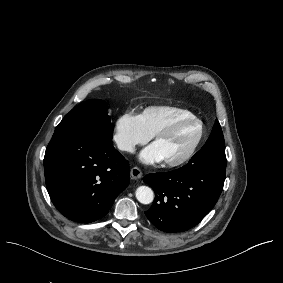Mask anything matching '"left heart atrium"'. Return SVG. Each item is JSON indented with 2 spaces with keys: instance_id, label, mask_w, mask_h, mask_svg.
<instances>
[{
  "instance_id": "1",
  "label": "left heart atrium",
  "mask_w": 283,
  "mask_h": 283,
  "mask_svg": "<svg viewBox=\"0 0 283 283\" xmlns=\"http://www.w3.org/2000/svg\"><path fill=\"white\" fill-rule=\"evenodd\" d=\"M138 158L139 161L145 165H154L165 161L164 154L157 141L143 148L140 151Z\"/></svg>"
}]
</instances>
